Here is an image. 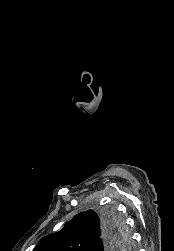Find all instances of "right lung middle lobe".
Segmentation results:
<instances>
[{"mask_svg":"<svg viewBox=\"0 0 174 251\" xmlns=\"http://www.w3.org/2000/svg\"><path fill=\"white\" fill-rule=\"evenodd\" d=\"M103 217L110 221L113 224L118 225V228L122 234V236L124 237V243L122 245V249L124 248H128L130 246V242L128 240V235L123 227L122 221L119 220V218L117 217V215L114 213V211H107Z\"/></svg>","mask_w":174,"mask_h":251,"instance_id":"obj_1","label":"right lung middle lobe"}]
</instances>
